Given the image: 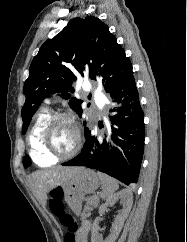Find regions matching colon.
Segmentation results:
<instances>
[{"instance_id":"1","label":"colon","mask_w":187,"mask_h":242,"mask_svg":"<svg viewBox=\"0 0 187 242\" xmlns=\"http://www.w3.org/2000/svg\"><path fill=\"white\" fill-rule=\"evenodd\" d=\"M49 207L51 212L59 217L60 222L68 229V232L65 236V242H79V239L76 235L77 226L72 217L64 210L61 189H55L52 191Z\"/></svg>"}]
</instances>
